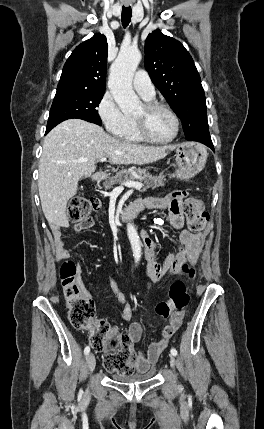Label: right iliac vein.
Returning <instances> with one entry per match:
<instances>
[{
	"label": "right iliac vein",
	"mask_w": 264,
	"mask_h": 429,
	"mask_svg": "<svg viewBox=\"0 0 264 429\" xmlns=\"http://www.w3.org/2000/svg\"><path fill=\"white\" fill-rule=\"evenodd\" d=\"M86 362H87V366L89 371L92 373L95 369V365H96V360H95V356L93 353H89L86 357Z\"/></svg>",
	"instance_id": "obj_1"
}]
</instances>
